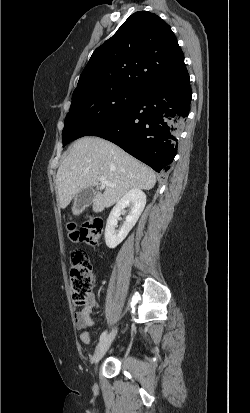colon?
I'll use <instances>...</instances> for the list:
<instances>
[{"instance_id": "obj_1", "label": "colon", "mask_w": 250, "mask_h": 413, "mask_svg": "<svg viewBox=\"0 0 250 413\" xmlns=\"http://www.w3.org/2000/svg\"><path fill=\"white\" fill-rule=\"evenodd\" d=\"M67 236L73 243L85 242L95 246L103 232V222L96 217H89L80 229L73 221L66 225ZM94 276L87 255L80 250L74 251L71 257L70 290L75 305L88 307L92 303Z\"/></svg>"}]
</instances>
